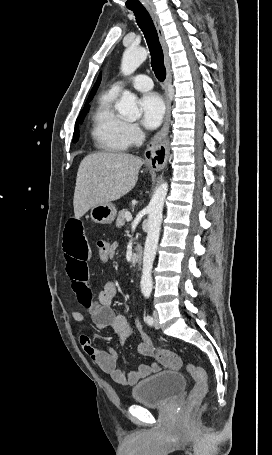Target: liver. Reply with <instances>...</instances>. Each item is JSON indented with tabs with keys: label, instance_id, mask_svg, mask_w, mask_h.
<instances>
[{
	"label": "liver",
	"instance_id": "liver-1",
	"mask_svg": "<svg viewBox=\"0 0 272 455\" xmlns=\"http://www.w3.org/2000/svg\"><path fill=\"white\" fill-rule=\"evenodd\" d=\"M143 162L122 152H98L87 155L77 172L73 206L76 218L94 206L115 201L136 185Z\"/></svg>",
	"mask_w": 272,
	"mask_h": 455
}]
</instances>
